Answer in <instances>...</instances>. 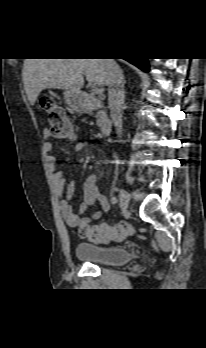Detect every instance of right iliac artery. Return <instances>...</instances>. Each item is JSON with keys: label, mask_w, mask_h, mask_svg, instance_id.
<instances>
[{"label": "right iliac artery", "mask_w": 206, "mask_h": 348, "mask_svg": "<svg viewBox=\"0 0 206 348\" xmlns=\"http://www.w3.org/2000/svg\"><path fill=\"white\" fill-rule=\"evenodd\" d=\"M111 202H112L113 204H115V203H117V202H118V200H117V198H116V197H112V198H111Z\"/></svg>", "instance_id": "1"}]
</instances>
